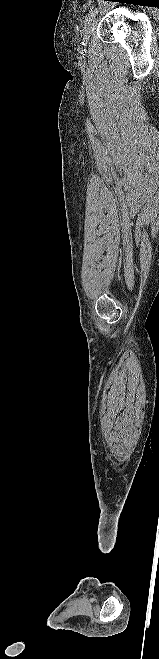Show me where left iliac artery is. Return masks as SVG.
I'll return each instance as SVG.
<instances>
[{"label":"left iliac artery","mask_w":159,"mask_h":659,"mask_svg":"<svg viewBox=\"0 0 159 659\" xmlns=\"http://www.w3.org/2000/svg\"><path fill=\"white\" fill-rule=\"evenodd\" d=\"M98 10H99L98 8H93V9H91V10L88 12L87 16H86V21H88V20L91 19L95 14H97Z\"/></svg>","instance_id":"left-iliac-artery-1"}]
</instances>
